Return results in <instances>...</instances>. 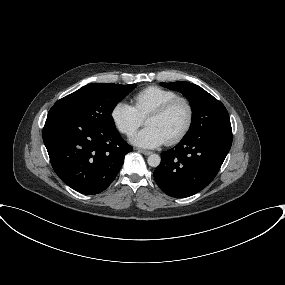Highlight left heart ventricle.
<instances>
[{"label":"left heart ventricle","instance_id":"1","mask_svg":"<svg viewBox=\"0 0 285 285\" xmlns=\"http://www.w3.org/2000/svg\"><path fill=\"white\" fill-rule=\"evenodd\" d=\"M186 115V107L182 103H178L162 116L146 118L145 124L157 128L167 140L182 128Z\"/></svg>","mask_w":285,"mask_h":285}]
</instances>
